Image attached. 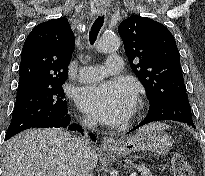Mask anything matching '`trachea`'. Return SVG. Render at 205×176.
Returning <instances> with one entry per match:
<instances>
[{
	"mask_svg": "<svg viewBox=\"0 0 205 176\" xmlns=\"http://www.w3.org/2000/svg\"><path fill=\"white\" fill-rule=\"evenodd\" d=\"M103 23H104V15L99 16L94 21V23L91 27L90 33H89V41L91 44L95 43L97 36H98V33L103 26Z\"/></svg>",
	"mask_w": 205,
	"mask_h": 176,
	"instance_id": "3493384b",
	"label": "trachea"
}]
</instances>
